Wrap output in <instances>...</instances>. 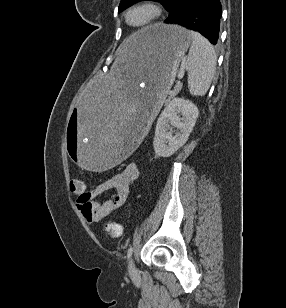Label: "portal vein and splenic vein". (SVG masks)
<instances>
[{
  "label": "portal vein and splenic vein",
  "mask_w": 286,
  "mask_h": 308,
  "mask_svg": "<svg viewBox=\"0 0 286 308\" xmlns=\"http://www.w3.org/2000/svg\"><path fill=\"white\" fill-rule=\"evenodd\" d=\"M183 76H184V71L183 70H181L180 72H179V75H178V82H177V85H181V79L183 78Z\"/></svg>",
  "instance_id": "obj_1"
}]
</instances>
